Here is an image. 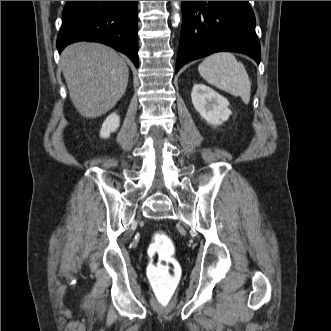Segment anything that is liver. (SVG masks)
<instances>
[{"instance_id": "6515ba94", "label": "liver", "mask_w": 331, "mask_h": 331, "mask_svg": "<svg viewBox=\"0 0 331 331\" xmlns=\"http://www.w3.org/2000/svg\"><path fill=\"white\" fill-rule=\"evenodd\" d=\"M61 67L70 99L86 118H96L111 110L128 84L127 64L103 44L77 42L66 47Z\"/></svg>"}]
</instances>
